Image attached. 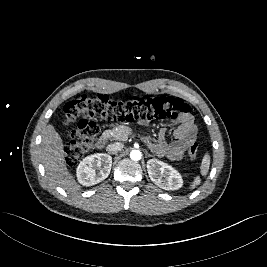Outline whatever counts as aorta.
Listing matches in <instances>:
<instances>
[{"instance_id": "obj_1", "label": "aorta", "mask_w": 267, "mask_h": 267, "mask_svg": "<svg viewBox=\"0 0 267 267\" xmlns=\"http://www.w3.org/2000/svg\"><path fill=\"white\" fill-rule=\"evenodd\" d=\"M130 158L134 161H139L142 158V153L139 150H133L130 153Z\"/></svg>"}]
</instances>
